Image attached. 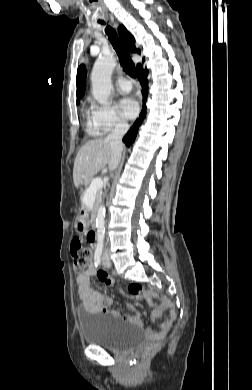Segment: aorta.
I'll return each instance as SVG.
<instances>
[{"mask_svg": "<svg viewBox=\"0 0 252 390\" xmlns=\"http://www.w3.org/2000/svg\"><path fill=\"white\" fill-rule=\"evenodd\" d=\"M116 66L113 56L107 55L99 57L92 69V94L98 103L108 105L112 90L111 75ZM105 214L104 204H101L96 217L97 241L102 243L105 237Z\"/></svg>", "mask_w": 252, "mask_h": 390, "instance_id": "762f6f07", "label": "aorta"}]
</instances>
